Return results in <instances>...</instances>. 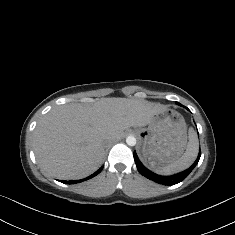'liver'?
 Wrapping results in <instances>:
<instances>
[{"mask_svg":"<svg viewBox=\"0 0 235 235\" xmlns=\"http://www.w3.org/2000/svg\"><path fill=\"white\" fill-rule=\"evenodd\" d=\"M143 99L106 98L86 107L61 105L44 115L33 133V148L43 172L62 180L84 178L104 158L105 141L130 127L146 126L165 109Z\"/></svg>","mask_w":235,"mask_h":235,"instance_id":"liver-1","label":"liver"}]
</instances>
